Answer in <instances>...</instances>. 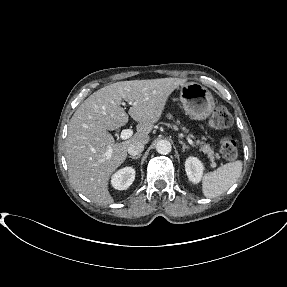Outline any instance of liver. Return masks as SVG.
<instances>
[{
	"instance_id": "obj_1",
	"label": "liver",
	"mask_w": 287,
	"mask_h": 287,
	"mask_svg": "<svg viewBox=\"0 0 287 287\" xmlns=\"http://www.w3.org/2000/svg\"><path fill=\"white\" fill-rule=\"evenodd\" d=\"M186 81L179 78L121 81L91 94L68 125L65 158L74 189L98 205L113 203L108 191L111 175L125 161L131 143L149 142V133L160 119L169 96ZM122 100L131 104L129 115L138 125L130 139L115 143L108 130H116L129 120L121 107Z\"/></svg>"
}]
</instances>
